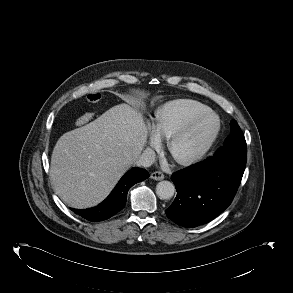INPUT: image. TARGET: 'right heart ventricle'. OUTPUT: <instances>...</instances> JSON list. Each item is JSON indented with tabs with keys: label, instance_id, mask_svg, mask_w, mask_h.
<instances>
[{
	"label": "right heart ventricle",
	"instance_id": "right-heart-ventricle-1",
	"mask_svg": "<svg viewBox=\"0 0 293 293\" xmlns=\"http://www.w3.org/2000/svg\"><path fill=\"white\" fill-rule=\"evenodd\" d=\"M206 111L209 107L196 100L169 101L155 112L153 128L161 138H169L192 117Z\"/></svg>",
	"mask_w": 293,
	"mask_h": 293
}]
</instances>
